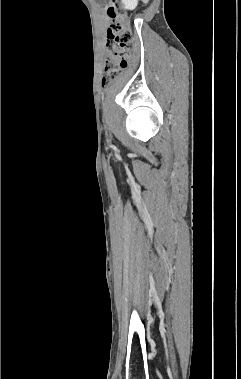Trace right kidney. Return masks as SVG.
Returning a JSON list of instances; mask_svg holds the SVG:
<instances>
[{
  "instance_id": "ca27d5eb",
  "label": "right kidney",
  "mask_w": 241,
  "mask_h": 379,
  "mask_svg": "<svg viewBox=\"0 0 241 379\" xmlns=\"http://www.w3.org/2000/svg\"><path fill=\"white\" fill-rule=\"evenodd\" d=\"M122 3L124 4L125 9L133 10L136 8L138 0H122Z\"/></svg>"
}]
</instances>
